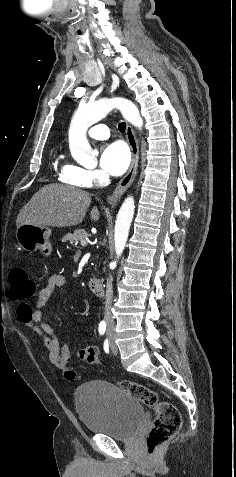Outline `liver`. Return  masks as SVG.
Returning <instances> with one entry per match:
<instances>
[{
	"mask_svg": "<svg viewBox=\"0 0 236 477\" xmlns=\"http://www.w3.org/2000/svg\"><path fill=\"white\" fill-rule=\"evenodd\" d=\"M91 203L88 192L79 188L49 184L42 187L21 209L17 220V228L24 224L38 227H69L80 224ZM91 219H99V211L95 206L91 211Z\"/></svg>",
	"mask_w": 236,
	"mask_h": 477,
	"instance_id": "1",
	"label": "liver"
}]
</instances>
